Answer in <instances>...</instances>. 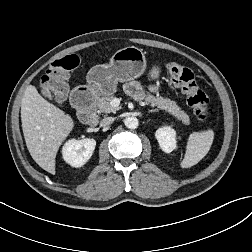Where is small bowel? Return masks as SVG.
I'll list each match as a JSON object with an SVG mask.
<instances>
[{"label": "small bowel", "instance_id": "c3829d8e", "mask_svg": "<svg viewBox=\"0 0 252 252\" xmlns=\"http://www.w3.org/2000/svg\"><path fill=\"white\" fill-rule=\"evenodd\" d=\"M126 90H127L128 93H130V94H132V95H134L136 97H141V95H142V91H141L139 85L134 83V82H131V83L127 84ZM150 90L152 92H155L157 90V87L155 85H152L150 87Z\"/></svg>", "mask_w": 252, "mask_h": 252}]
</instances>
